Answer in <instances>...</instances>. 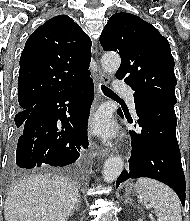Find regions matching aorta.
<instances>
[{
    "label": "aorta",
    "instance_id": "1",
    "mask_svg": "<svg viewBox=\"0 0 190 221\" xmlns=\"http://www.w3.org/2000/svg\"><path fill=\"white\" fill-rule=\"evenodd\" d=\"M121 63L118 54L105 53L101 58L102 69L107 73H115ZM124 162L120 157H110L104 163L103 178L106 182L115 181L123 170Z\"/></svg>",
    "mask_w": 190,
    "mask_h": 221
}]
</instances>
